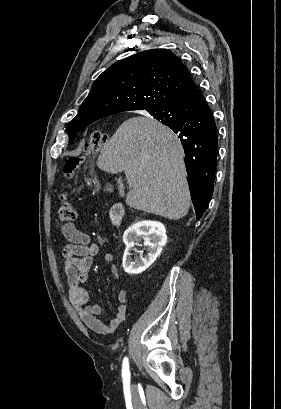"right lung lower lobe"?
I'll use <instances>...</instances> for the list:
<instances>
[{
  "mask_svg": "<svg viewBox=\"0 0 281 409\" xmlns=\"http://www.w3.org/2000/svg\"><path fill=\"white\" fill-rule=\"evenodd\" d=\"M149 113L155 119L169 118L166 126L181 140L191 199L199 220L211 200L216 170L218 132L212 111L197 89L185 99Z\"/></svg>",
  "mask_w": 281,
  "mask_h": 409,
  "instance_id": "right-lung-lower-lobe-1",
  "label": "right lung lower lobe"
}]
</instances>
